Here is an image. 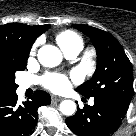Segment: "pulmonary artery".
Instances as JSON below:
<instances>
[{"label": "pulmonary artery", "instance_id": "pulmonary-artery-1", "mask_svg": "<svg viewBox=\"0 0 136 136\" xmlns=\"http://www.w3.org/2000/svg\"><path fill=\"white\" fill-rule=\"evenodd\" d=\"M79 52H80V49H78V48H75V49H71V50H68V51H64V54H65V56L67 57V58H69V59H74V58H76L77 57V55L79 54ZM29 86L28 85H26V84H23V85H21V89L22 90H25V89H27ZM94 102L93 101H90V104L92 105Z\"/></svg>", "mask_w": 136, "mask_h": 136}]
</instances>
